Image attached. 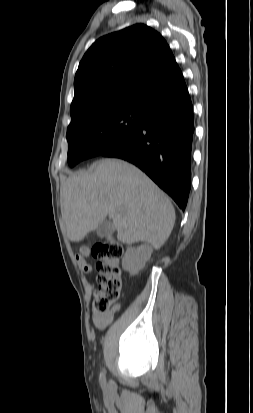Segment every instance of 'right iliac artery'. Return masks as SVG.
Masks as SVG:
<instances>
[{"instance_id":"right-iliac-artery-1","label":"right iliac artery","mask_w":253,"mask_h":413,"mask_svg":"<svg viewBox=\"0 0 253 413\" xmlns=\"http://www.w3.org/2000/svg\"><path fill=\"white\" fill-rule=\"evenodd\" d=\"M100 379H101V381H102V382H104V381H105V376H104V374H103V373H101V375H100Z\"/></svg>"}]
</instances>
